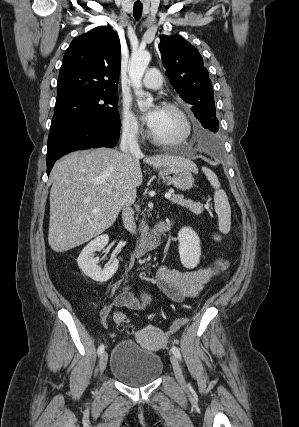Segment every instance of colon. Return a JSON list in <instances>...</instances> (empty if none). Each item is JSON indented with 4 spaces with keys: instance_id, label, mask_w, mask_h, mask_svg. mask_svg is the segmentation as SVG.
Segmentation results:
<instances>
[{
    "instance_id": "obj_1",
    "label": "colon",
    "mask_w": 299,
    "mask_h": 427,
    "mask_svg": "<svg viewBox=\"0 0 299 427\" xmlns=\"http://www.w3.org/2000/svg\"><path fill=\"white\" fill-rule=\"evenodd\" d=\"M113 322L116 324V326L118 327L119 330L125 331L128 334L133 333V328L128 327L126 325L127 324V318L123 313H121V312L115 313L113 315Z\"/></svg>"
}]
</instances>
